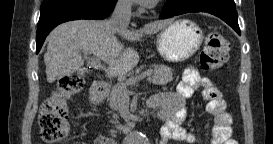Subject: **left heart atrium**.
<instances>
[{"label":"left heart atrium","instance_id":"1","mask_svg":"<svg viewBox=\"0 0 273 144\" xmlns=\"http://www.w3.org/2000/svg\"><path fill=\"white\" fill-rule=\"evenodd\" d=\"M140 4L147 6V7H152L156 4L157 0H137Z\"/></svg>","mask_w":273,"mask_h":144}]
</instances>
